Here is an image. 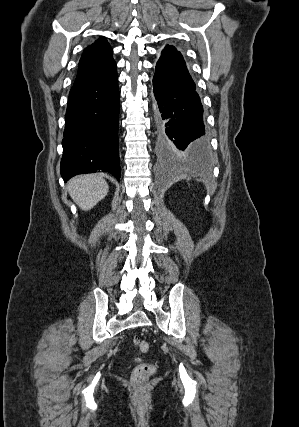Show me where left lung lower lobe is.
I'll list each match as a JSON object with an SVG mask.
<instances>
[{
    "label": "left lung lower lobe",
    "mask_w": 299,
    "mask_h": 427,
    "mask_svg": "<svg viewBox=\"0 0 299 427\" xmlns=\"http://www.w3.org/2000/svg\"><path fill=\"white\" fill-rule=\"evenodd\" d=\"M157 151L170 162L188 159L198 172L211 167L203 107L185 61L174 46L167 45L153 77Z\"/></svg>",
    "instance_id": "0a47b994"
}]
</instances>
